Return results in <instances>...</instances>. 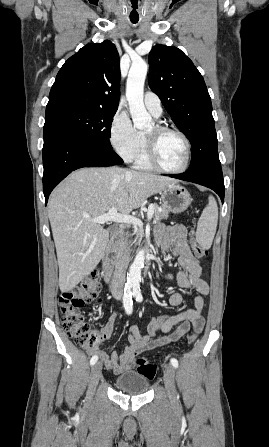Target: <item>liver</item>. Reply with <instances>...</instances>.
I'll return each mask as SVG.
<instances>
[{
  "label": "liver",
  "instance_id": "6515ba94",
  "mask_svg": "<svg viewBox=\"0 0 269 447\" xmlns=\"http://www.w3.org/2000/svg\"><path fill=\"white\" fill-rule=\"evenodd\" d=\"M170 184V178L123 168H81L59 184L49 200L48 218L61 291L73 289L104 255L109 229L92 222L93 218L104 216L111 208L128 216Z\"/></svg>",
  "mask_w": 269,
  "mask_h": 447
}]
</instances>
